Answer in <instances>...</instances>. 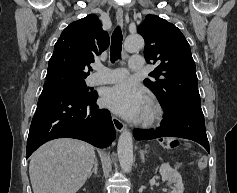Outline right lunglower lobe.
<instances>
[{
    "label": "right lung lower lobe",
    "instance_id": "1",
    "mask_svg": "<svg viewBox=\"0 0 237 193\" xmlns=\"http://www.w3.org/2000/svg\"><path fill=\"white\" fill-rule=\"evenodd\" d=\"M95 92L75 97L62 89L44 88L32 119L26 158L45 142L55 138H75L105 148L116 134L108 110L96 104Z\"/></svg>",
    "mask_w": 237,
    "mask_h": 193
}]
</instances>
